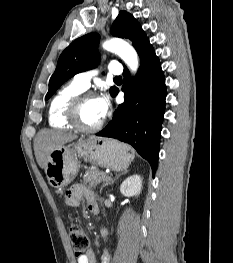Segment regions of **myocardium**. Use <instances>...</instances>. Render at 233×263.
I'll return each mask as SVG.
<instances>
[{
  "label": "myocardium",
  "mask_w": 233,
  "mask_h": 263,
  "mask_svg": "<svg viewBox=\"0 0 233 263\" xmlns=\"http://www.w3.org/2000/svg\"><path fill=\"white\" fill-rule=\"evenodd\" d=\"M97 98V96L90 91H82L74 96L66 110V117L68 121L79 131L85 133H93L99 131L103 127V120H101L97 125L92 127H87L82 124L80 111L87 99Z\"/></svg>",
  "instance_id": "1"
}]
</instances>
